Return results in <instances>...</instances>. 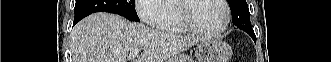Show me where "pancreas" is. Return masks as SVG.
I'll use <instances>...</instances> for the list:
<instances>
[{
    "instance_id": "cf45deb5",
    "label": "pancreas",
    "mask_w": 331,
    "mask_h": 62,
    "mask_svg": "<svg viewBox=\"0 0 331 62\" xmlns=\"http://www.w3.org/2000/svg\"><path fill=\"white\" fill-rule=\"evenodd\" d=\"M168 62H193L189 56L187 55H182V56H175L173 58H170Z\"/></svg>"
}]
</instances>
